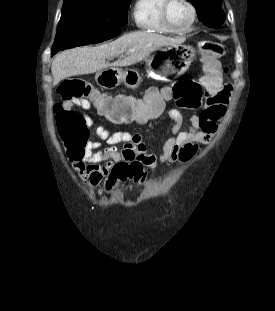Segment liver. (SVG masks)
<instances>
[{
    "instance_id": "6515ba94",
    "label": "liver",
    "mask_w": 275,
    "mask_h": 311,
    "mask_svg": "<svg viewBox=\"0 0 275 311\" xmlns=\"http://www.w3.org/2000/svg\"><path fill=\"white\" fill-rule=\"evenodd\" d=\"M181 39H174L148 31L125 34L117 40L96 47H78L58 54L51 65L53 84L83 74H90L111 66L106 60L119 57L113 66L124 67L136 64L157 49L176 45Z\"/></svg>"
}]
</instances>
